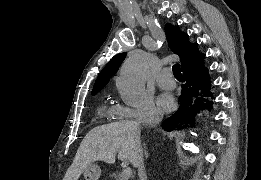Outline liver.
Masks as SVG:
<instances>
[{
    "label": "liver",
    "mask_w": 261,
    "mask_h": 180,
    "mask_svg": "<svg viewBox=\"0 0 261 180\" xmlns=\"http://www.w3.org/2000/svg\"><path fill=\"white\" fill-rule=\"evenodd\" d=\"M138 128L139 124L131 120L93 128L77 150L69 168V180H79L85 168L97 160L106 164H114L116 156L118 160H134L137 150L141 148Z\"/></svg>",
    "instance_id": "6515ba94"
}]
</instances>
